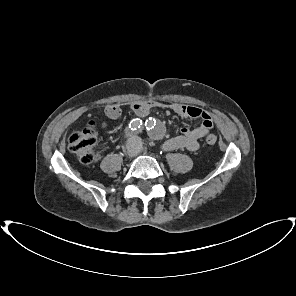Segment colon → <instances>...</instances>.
Here are the masks:
<instances>
[{
	"instance_id": "colon-1",
	"label": "colon",
	"mask_w": 296,
	"mask_h": 296,
	"mask_svg": "<svg viewBox=\"0 0 296 296\" xmlns=\"http://www.w3.org/2000/svg\"><path fill=\"white\" fill-rule=\"evenodd\" d=\"M97 133L95 123L90 122L85 128L71 134L68 140L69 150L82 162H95L99 154L96 151ZM205 143L207 146H213L217 143L215 135H208Z\"/></svg>"
}]
</instances>
